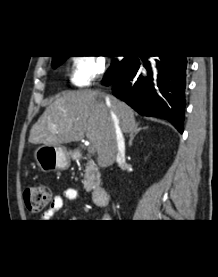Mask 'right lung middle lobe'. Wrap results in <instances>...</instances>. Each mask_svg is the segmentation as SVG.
<instances>
[{"mask_svg":"<svg viewBox=\"0 0 218 277\" xmlns=\"http://www.w3.org/2000/svg\"><path fill=\"white\" fill-rule=\"evenodd\" d=\"M67 58H68V56H60V57L52 60V66H53V68H56L59 65H61ZM132 58L133 57H131V56H126L125 58H123L120 61L114 59L112 61L111 67L105 73L104 81H106L107 83L113 82L114 79L116 78L118 72L120 71V69L123 66L127 65L132 60Z\"/></svg>","mask_w":218,"mask_h":277,"instance_id":"dd1d6c3e","label":"right lung middle lobe"}]
</instances>
